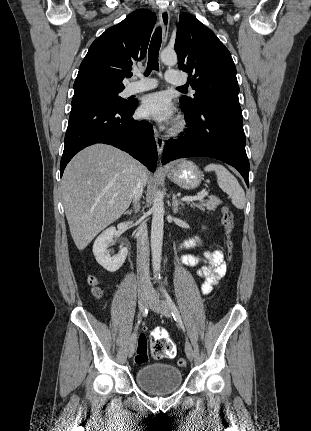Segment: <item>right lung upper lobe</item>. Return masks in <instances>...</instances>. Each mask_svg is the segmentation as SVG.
Masks as SVG:
<instances>
[{"label":"right lung upper lobe","mask_w":311,"mask_h":431,"mask_svg":"<svg viewBox=\"0 0 311 431\" xmlns=\"http://www.w3.org/2000/svg\"><path fill=\"white\" fill-rule=\"evenodd\" d=\"M155 23V13L136 10L107 29L91 44L80 64L74 94L123 91L122 81L132 70L133 61L146 55Z\"/></svg>","instance_id":"obj_1"}]
</instances>
